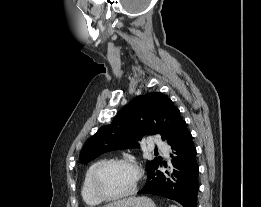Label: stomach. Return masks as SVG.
Segmentation results:
<instances>
[{"label":"stomach","mask_w":261,"mask_h":207,"mask_svg":"<svg viewBox=\"0 0 261 207\" xmlns=\"http://www.w3.org/2000/svg\"><path fill=\"white\" fill-rule=\"evenodd\" d=\"M103 207H156L154 202L145 196L124 198Z\"/></svg>","instance_id":"1"}]
</instances>
